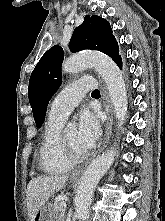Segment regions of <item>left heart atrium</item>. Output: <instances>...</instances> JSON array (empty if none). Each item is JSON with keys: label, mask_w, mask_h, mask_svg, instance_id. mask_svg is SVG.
Returning a JSON list of instances; mask_svg holds the SVG:
<instances>
[{"label": "left heart atrium", "mask_w": 165, "mask_h": 221, "mask_svg": "<svg viewBox=\"0 0 165 221\" xmlns=\"http://www.w3.org/2000/svg\"><path fill=\"white\" fill-rule=\"evenodd\" d=\"M100 122L98 117L89 110H83L78 118V139L87 149H91L100 136Z\"/></svg>", "instance_id": "obj_1"}]
</instances>
